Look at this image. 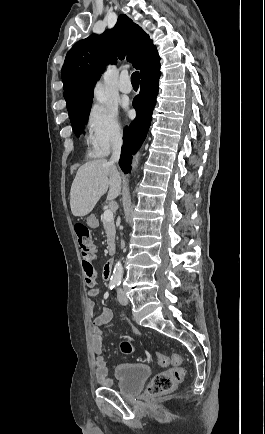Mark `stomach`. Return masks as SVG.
I'll return each mask as SVG.
<instances>
[{
    "label": "stomach",
    "mask_w": 265,
    "mask_h": 434,
    "mask_svg": "<svg viewBox=\"0 0 265 434\" xmlns=\"http://www.w3.org/2000/svg\"><path fill=\"white\" fill-rule=\"evenodd\" d=\"M94 220H95L94 216H91V218H88V224H92ZM93 229H96V226H93Z\"/></svg>",
    "instance_id": "obj_1"
}]
</instances>
